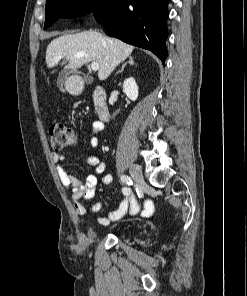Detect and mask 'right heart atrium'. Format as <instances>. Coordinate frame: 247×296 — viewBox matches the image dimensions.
I'll return each mask as SVG.
<instances>
[{"label": "right heart atrium", "instance_id": "1", "mask_svg": "<svg viewBox=\"0 0 247 296\" xmlns=\"http://www.w3.org/2000/svg\"><path fill=\"white\" fill-rule=\"evenodd\" d=\"M83 5L84 6L88 5V1H83Z\"/></svg>", "mask_w": 247, "mask_h": 296}]
</instances>
